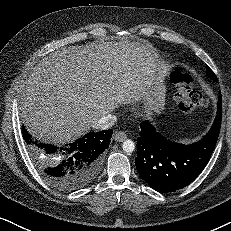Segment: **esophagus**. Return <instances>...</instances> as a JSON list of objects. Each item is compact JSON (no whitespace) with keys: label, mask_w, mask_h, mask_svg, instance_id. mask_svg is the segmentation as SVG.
<instances>
[{"label":"esophagus","mask_w":231,"mask_h":231,"mask_svg":"<svg viewBox=\"0 0 231 231\" xmlns=\"http://www.w3.org/2000/svg\"><path fill=\"white\" fill-rule=\"evenodd\" d=\"M126 134L124 132H117L115 134V141L117 142H122L126 139Z\"/></svg>","instance_id":"34e87169"}]
</instances>
